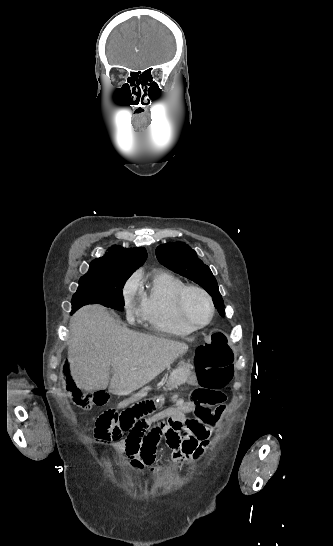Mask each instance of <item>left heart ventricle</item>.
<instances>
[{"instance_id": "b2bd125f", "label": "left heart ventricle", "mask_w": 333, "mask_h": 546, "mask_svg": "<svg viewBox=\"0 0 333 546\" xmlns=\"http://www.w3.org/2000/svg\"><path fill=\"white\" fill-rule=\"evenodd\" d=\"M186 310L190 319L197 324L204 323L210 315L207 301L198 293L189 294Z\"/></svg>"}]
</instances>
